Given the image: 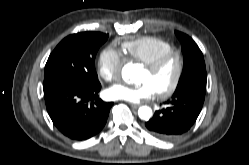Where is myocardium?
I'll list each match as a JSON object with an SVG mask.
<instances>
[{
	"label": "myocardium",
	"mask_w": 249,
	"mask_h": 165,
	"mask_svg": "<svg viewBox=\"0 0 249 165\" xmlns=\"http://www.w3.org/2000/svg\"><path fill=\"white\" fill-rule=\"evenodd\" d=\"M171 61L174 62L175 66H174V72H173L170 82L168 83L166 87L155 91L157 96L160 98H165V97L170 96L177 89L181 76H182L183 67H184L183 56L178 50L172 49L162 54L161 56H159L158 58H156L150 63H146V64L143 63L144 64L143 67L147 69L149 73L156 74L160 70H162L163 67L167 63Z\"/></svg>",
	"instance_id": "f54148a6"
}]
</instances>
